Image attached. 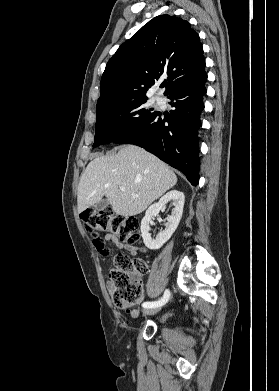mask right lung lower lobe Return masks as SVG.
<instances>
[{
	"label": "right lung lower lobe",
	"instance_id": "obj_1",
	"mask_svg": "<svg viewBox=\"0 0 279 391\" xmlns=\"http://www.w3.org/2000/svg\"><path fill=\"white\" fill-rule=\"evenodd\" d=\"M206 72L184 83L167 96L174 109L170 114L158 112L151 119L128 130L115 143L143 147L161 160L183 172L196 186L199 180L197 130L201 127L202 97L206 93Z\"/></svg>",
	"mask_w": 279,
	"mask_h": 391
}]
</instances>
